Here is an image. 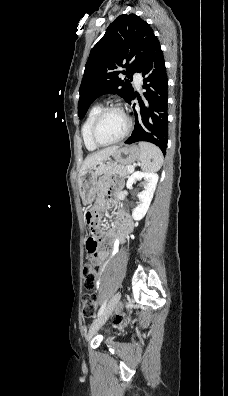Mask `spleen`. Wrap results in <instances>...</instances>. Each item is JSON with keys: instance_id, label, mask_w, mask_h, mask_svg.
Returning a JSON list of instances; mask_svg holds the SVG:
<instances>
[{"instance_id": "1", "label": "spleen", "mask_w": 228, "mask_h": 396, "mask_svg": "<svg viewBox=\"0 0 228 396\" xmlns=\"http://www.w3.org/2000/svg\"><path fill=\"white\" fill-rule=\"evenodd\" d=\"M139 147L141 149V169L146 172H157L163 164L161 150L149 142H139Z\"/></svg>"}]
</instances>
